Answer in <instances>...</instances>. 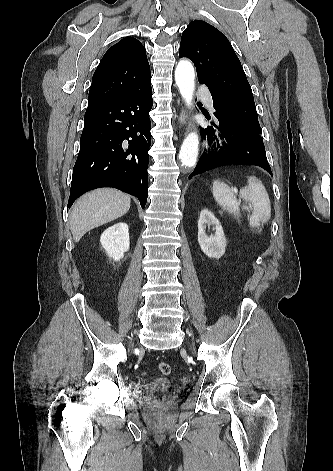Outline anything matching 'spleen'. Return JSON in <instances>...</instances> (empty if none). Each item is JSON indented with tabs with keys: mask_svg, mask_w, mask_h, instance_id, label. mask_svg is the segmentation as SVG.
I'll list each match as a JSON object with an SVG mask.
<instances>
[{
	"mask_svg": "<svg viewBox=\"0 0 333 471\" xmlns=\"http://www.w3.org/2000/svg\"><path fill=\"white\" fill-rule=\"evenodd\" d=\"M248 185L240 189V197L253 205L249 225L258 228L261 222H267L271 216L269 196L262 182L255 176L247 177ZM213 196L219 206L230 214L240 212L236 196L230 187L219 181L213 183Z\"/></svg>",
	"mask_w": 333,
	"mask_h": 471,
	"instance_id": "3e777b00",
	"label": "spleen"
}]
</instances>
